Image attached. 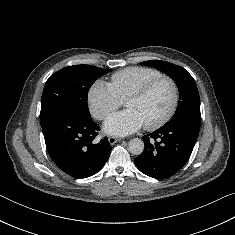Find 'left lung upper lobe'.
<instances>
[{"mask_svg": "<svg viewBox=\"0 0 235 235\" xmlns=\"http://www.w3.org/2000/svg\"><path fill=\"white\" fill-rule=\"evenodd\" d=\"M141 65L154 67L170 76L179 89V103L173 118L164 126L187 119L201 121L200 97L192 76L182 67L160 60L141 62Z\"/></svg>", "mask_w": 235, "mask_h": 235, "instance_id": "obj_1", "label": "left lung upper lobe"}]
</instances>
